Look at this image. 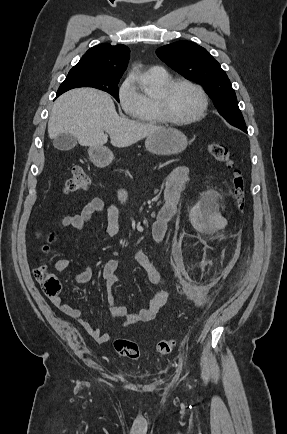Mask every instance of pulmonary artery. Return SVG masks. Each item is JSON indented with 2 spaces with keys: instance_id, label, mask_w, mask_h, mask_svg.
<instances>
[{
  "instance_id": "e3ab8cb5",
  "label": "pulmonary artery",
  "mask_w": 287,
  "mask_h": 434,
  "mask_svg": "<svg viewBox=\"0 0 287 434\" xmlns=\"http://www.w3.org/2000/svg\"><path fill=\"white\" fill-rule=\"evenodd\" d=\"M148 73H150L152 75H160V74L164 73V70L160 66H153L149 69Z\"/></svg>"
}]
</instances>
